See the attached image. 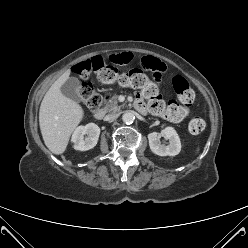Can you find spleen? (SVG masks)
Instances as JSON below:
<instances>
[{"label":"spleen","instance_id":"spleen-1","mask_svg":"<svg viewBox=\"0 0 248 248\" xmlns=\"http://www.w3.org/2000/svg\"><path fill=\"white\" fill-rule=\"evenodd\" d=\"M199 150H200V148H199V147H198V148H196L195 153H198V152H199Z\"/></svg>","mask_w":248,"mask_h":248}]
</instances>
